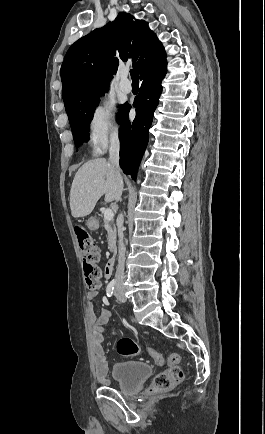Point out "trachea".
I'll list each match as a JSON object with an SVG mask.
<instances>
[{
    "mask_svg": "<svg viewBox=\"0 0 265 434\" xmlns=\"http://www.w3.org/2000/svg\"><path fill=\"white\" fill-rule=\"evenodd\" d=\"M130 75L132 79V84H138L139 83V75L135 70H130Z\"/></svg>",
    "mask_w": 265,
    "mask_h": 434,
    "instance_id": "3493384b",
    "label": "trachea"
}]
</instances>
